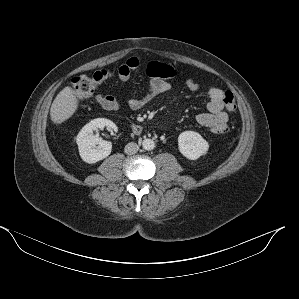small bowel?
<instances>
[{
    "instance_id": "1",
    "label": "small bowel",
    "mask_w": 299,
    "mask_h": 299,
    "mask_svg": "<svg viewBox=\"0 0 299 299\" xmlns=\"http://www.w3.org/2000/svg\"><path fill=\"white\" fill-rule=\"evenodd\" d=\"M132 73L140 77L143 76L139 60L135 57L118 66L114 71L115 76L121 81H127ZM145 75L149 77L148 89L140 96H131L127 99V105L133 110H139L147 106L157 96L169 90V80L176 77L177 73L172 66L153 61L147 65ZM185 84L191 91H197L200 88L199 84L193 79H187ZM207 94L209 97L207 112L199 113L196 120L201 126L215 134L226 133L228 131V115L224 111L223 99L225 92L218 87L211 86L208 88ZM95 101L107 110H117L119 108L118 100L110 95H96Z\"/></svg>"
}]
</instances>
